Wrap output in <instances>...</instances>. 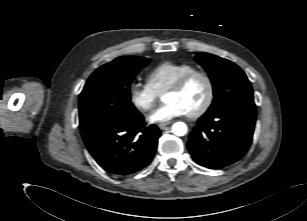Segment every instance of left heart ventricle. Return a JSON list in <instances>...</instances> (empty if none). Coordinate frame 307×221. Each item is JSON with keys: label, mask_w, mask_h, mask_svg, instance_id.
I'll list each match as a JSON object with an SVG mask.
<instances>
[{"label": "left heart ventricle", "mask_w": 307, "mask_h": 221, "mask_svg": "<svg viewBox=\"0 0 307 221\" xmlns=\"http://www.w3.org/2000/svg\"><path fill=\"white\" fill-rule=\"evenodd\" d=\"M206 96L207 84L205 80L202 77H195L182 91L166 93L164 100L165 102H177L185 109L186 113H191L201 107Z\"/></svg>", "instance_id": "1"}]
</instances>
